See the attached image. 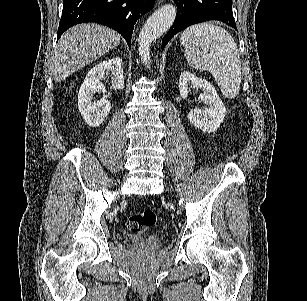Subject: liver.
Segmentation results:
<instances>
[{"label":"liver","mask_w":307,"mask_h":301,"mask_svg":"<svg viewBox=\"0 0 307 301\" xmlns=\"http://www.w3.org/2000/svg\"><path fill=\"white\" fill-rule=\"evenodd\" d=\"M121 34L95 22L76 24L62 34L52 56L51 68L55 82L93 62L111 48L118 46Z\"/></svg>","instance_id":"liver-1"}]
</instances>
